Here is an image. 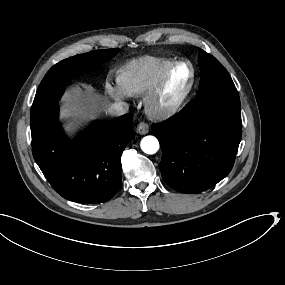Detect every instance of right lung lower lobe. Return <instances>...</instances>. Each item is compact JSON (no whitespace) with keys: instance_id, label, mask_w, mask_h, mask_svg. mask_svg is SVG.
I'll list each match as a JSON object with an SVG mask.
<instances>
[{"instance_id":"obj_1","label":"right lung lower lobe","mask_w":285,"mask_h":285,"mask_svg":"<svg viewBox=\"0 0 285 285\" xmlns=\"http://www.w3.org/2000/svg\"><path fill=\"white\" fill-rule=\"evenodd\" d=\"M65 83L36 94L30 115L32 153L53 189L67 200L100 203L122 187L121 155L134 138L132 115L96 121L71 142L58 121Z\"/></svg>"}]
</instances>
